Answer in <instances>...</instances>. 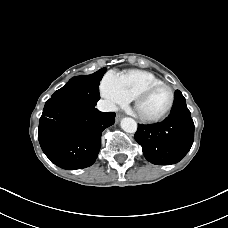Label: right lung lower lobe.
<instances>
[{
  "label": "right lung lower lobe",
  "mask_w": 228,
  "mask_h": 228,
  "mask_svg": "<svg viewBox=\"0 0 228 228\" xmlns=\"http://www.w3.org/2000/svg\"><path fill=\"white\" fill-rule=\"evenodd\" d=\"M114 122L113 112L49 99L39 122V143L55 165L63 169L86 168L98 156L103 130Z\"/></svg>",
  "instance_id": "1"
}]
</instances>
